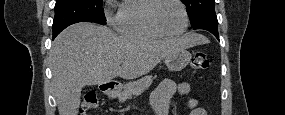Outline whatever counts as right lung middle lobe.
<instances>
[{
  "instance_id": "dd1d6c3e",
  "label": "right lung middle lobe",
  "mask_w": 285,
  "mask_h": 115,
  "mask_svg": "<svg viewBox=\"0 0 285 115\" xmlns=\"http://www.w3.org/2000/svg\"><path fill=\"white\" fill-rule=\"evenodd\" d=\"M81 21L105 25L102 0L56 1L53 31Z\"/></svg>"
}]
</instances>
